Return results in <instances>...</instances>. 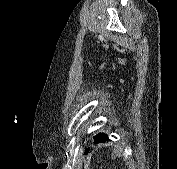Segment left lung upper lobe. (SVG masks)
I'll list each match as a JSON object with an SVG mask.
<instances>
[{"label": "left lung upper lobe", "instance_id": "obj_1", "mask_svg": "<svg viewBox=\"0 0 177 169\" xmlns=\"http://www.w3.org/2000/svg\"><path fill=\"white\" fill-rule=\"evenodd\" d=\"M100 135H104V133H99V134H97L96 136H94V140H95L96 138H98Z\"/></svg>", "mask_w": 177, "mask_h": 169}]
</instances>
